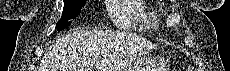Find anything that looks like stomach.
Masks as SVG:
<instances>
[{
  "label": "stomach",
  "instance_id": "stomach-1",
  "mask_svg": "<svg viewBox=\"0 0 230 71\" xmlns=\"http://www.w3.org/2000/svg\"><path fill=\"white\" fill-rule=\"evenodd\" d=\"M160 65V67L152 66L147 61H141L134 66L125 67L123 71H161L160 69H163L162 67L165 63L162 61L160 62Z\"/></svg>",
  "mask_w": 230,
  "mask_h": 71
}]
</instances>
